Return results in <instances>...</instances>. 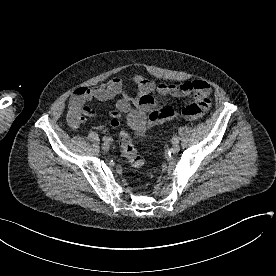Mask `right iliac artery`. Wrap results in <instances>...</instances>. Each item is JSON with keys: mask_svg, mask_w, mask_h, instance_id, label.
Here are the masks:
<instances>
[{"mask_svg": "<svg viewBox=\"0 0 276 276\" xmlns=\"http://www.w3.org/2000/svg\"><path fill=\"white\" fill-rule=\"evenodd\" d=\"M102 140H103V141H108V142L113 141V139H112L111 137H107V136H104V137L102 138Z\"/></svg>", "mask_w": 276, "mask_h": 276, "instance_id": "82829eb1", "label": "right iliac artery"}]
</instances>
